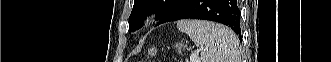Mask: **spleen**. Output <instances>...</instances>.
Returning a JSON list of instances; mask_svg holds the SVG:
<instances>
[{
	"mask_svg": "<svg viewBox=\"0 0 331 62\" xmlns=\"http://www.w3.org/2000/svg\"><path fill=\"white\" fill-rule=\"evenodd\" d=\"M177 28L200 47L198 62H240L238 39L227 27L204 20H180Z\"/></svg>",
	"mask_w": 331,
	"mask_h": 62,
	"instance_id": "obj_1",
	"label": "spleen"
}]
</instances>
